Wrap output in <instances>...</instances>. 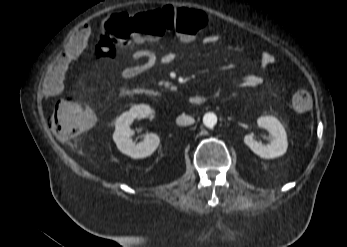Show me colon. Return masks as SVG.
<instances>
[{"label": "colon", "mask_w": 347, "mask_h": 247, "mask_svg": "<svg viewBox=\"0 0 347 247\" xmlns=\"http://www.w3.org/2000/svg\"><path fill=\"white\" fill-rule=\"evenodd\" d=\"M207 21L204 12L188 8L165 7L135 14L115 13L103 24L96 53L98 57L111 58L119 47L126 46L132 39H158L167 31H174L189 40L207 25ZM292 106L299 112L308 111L312 106L310 92L303 87L296 89ZM93 125L92 110L71 98L59 100L49 118L50 129L63 140L79 136Z\"/></svg>", "instance_id": "1"}]
</instances>
